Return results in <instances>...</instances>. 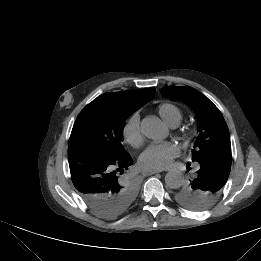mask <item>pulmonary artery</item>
Segmentation results:
<instances>
[{
    "label": "pulmonary artery",
    "instance_id": "e3ab8cb5",
    "mask_svg": "<svg viewBox=\"0 0 261 261\" xmlns=\"http://www.w3.org/2000/svg\"><path fill=\"white\" fill-rule=\"evenodd\" d=\"M172 127H175V126H177L176 124H173V125H171Z\"/></svg>",
    "mask_w": 261,
    "mask_h": 261
}]
</instances>
